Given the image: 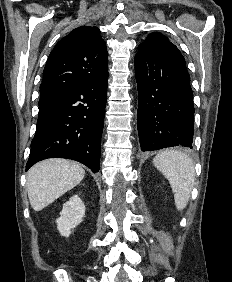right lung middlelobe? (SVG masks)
Wrapping results in <instances>:
<instances>
[{"instance_id": "obj_1", "label": "right lung middle lobe", "mask_w": 232, "mask_h": 282, "mask_svg": "<svg viewBox=\"0 0 232 282\" xmlns=\"http://www.w3.org/2000/svg\"><path fill=\"white\" fill-rule=\"evenodd\" d=\"M57 99L50 96H42L39 100V115L45 114L56 102Z\"/></svg>"}]
</instances>
